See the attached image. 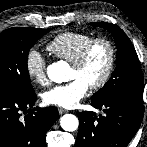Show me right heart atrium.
<instances>
[{"instance_id": "obj_1", "label": "right heart atrium", "mask_w": 147, "mask_h": 147, "mask_svg": "<svg viewBox=\"0 0 147 147\" xmlns=\"http://www.w3.org/2000/svg\"><path fill=\"white\" fill-rule=\"evenodd\" d=\"M25 70L28 77L38 85H46L48 76L46 71V61L37 49H30L25 56Z\"/></svg>"}]
</instances>
